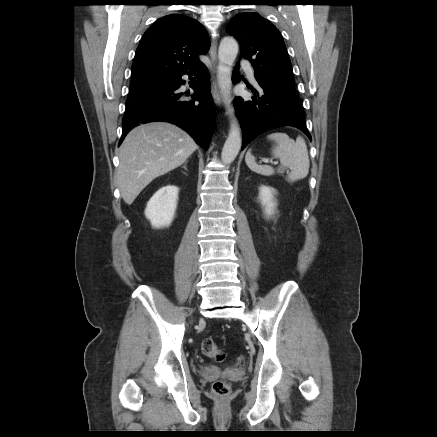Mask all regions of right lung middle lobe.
Returning a JSON list of instances; mask_svg holds the SVG:
<instances>
[{"label": "right lung middle lobe", "mask_w": 437, "mask_h": 437, "mask_svg": "<svg viewBox=\"0 0 437 437\" xmlns=\"http://www.w3.org/2000/svg\"><path fill=\"white\" fill-rule=\"evenodd\" d=\"M168 80L169 79H153L134 81L131 84L130 96H136L163 87L167 84Z\"/></svg>", "instance_id": "right-lung-middle-lobe-1"}]
</instances>
